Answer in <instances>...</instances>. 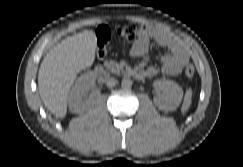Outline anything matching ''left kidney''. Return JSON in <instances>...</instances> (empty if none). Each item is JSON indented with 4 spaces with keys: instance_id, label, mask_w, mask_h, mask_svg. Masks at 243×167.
<instances>
[{
    "instance_id": "obj_1",
    "label": "left kidney",
    "mask_w": 243,
    "mask_h": 167,
    "mask_svg": "<svg viewBox=\"0 0 243 167\" xmlns=\"http://www.w3.org/2000/svg\"><path fill=\"white\" fill-rule=\"evenodd\" d=\"M155 90H162L164 96H156L154 98L155 105L163 111H174L180 105L183 90L175 82L170 80H156L153 82Z\"/></svg>"
}]
</instances>
